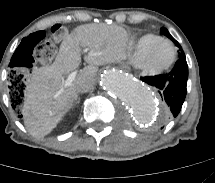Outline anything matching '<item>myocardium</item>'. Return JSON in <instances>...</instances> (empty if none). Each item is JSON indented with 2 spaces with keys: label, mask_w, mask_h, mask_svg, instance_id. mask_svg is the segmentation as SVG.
<instances>
[{
  "label": "myocardium",
  "mask_w": 215,
  "mask_h": 183,
  "mask_svg": "<svg viewBox=\"0 0 215 183\" xmlns=\"http://www.w3.org/2000/svg\"><path fill=\"white\" fill-rule=\"evenodd\" d=\"M163 43H166L171 48V55L168 60L160 64H154L152 62V54L157 47ZM177 59V49L173 42L168 39H160L154 45H152L138 60L137 64L141 72L147 77H158L167 73L175 64Z\"/></svg>",
  "instance_id": "myocardium-1"
}]
</instances>
